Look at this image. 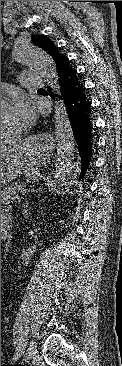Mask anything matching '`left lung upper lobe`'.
<instances>
[{"mask_svg":"<svg viewBox=\"0 0 122 366\" xmlns=\"http://www.w3.org/2000/svg\"><path fill=\"white\" fill-rule=\"evenodd\" d=\"M33 43L48 53L57 64L63 55L45 35H32Z\"/></svg>","mask_w":122,"mask_h":366,"instance_id":"5c2ea615","label":"left lung upper lobe"}]
</instances>
